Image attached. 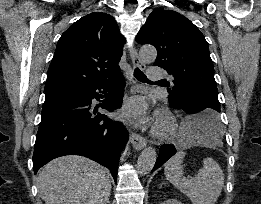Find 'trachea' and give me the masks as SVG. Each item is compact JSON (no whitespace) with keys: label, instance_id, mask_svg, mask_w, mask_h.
Segmentation results:
<instances>
[{"label":"trachea","instance_id":"obj_1","mask_svg":"<svg viewBox=\"0 0 261 204\" xmlns=\"http://www.w3.org/2000/svg\"><path fill=\"white\" fill-rule=\"evenodd\" d=\"M134 76L137 80H139L141 82H149L146 75L139 68H136L134 70Z\"/></svg>","mask_w":261,"mask_h":204}]
</instances>
